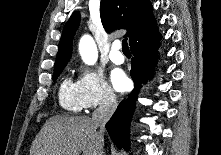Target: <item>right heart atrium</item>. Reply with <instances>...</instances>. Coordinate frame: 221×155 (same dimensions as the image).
<instances>
[{
    "instance_id": "right-heart-atrium-1",
    "label": "right heart atrium",
    "mask_w": 221,
    "mask_h": 155,
    "mask_svg": "<svg viewBox=\"0 0 221 155\" xmlns=\"http://www.w3.org/2000/svg\"><path fill=\"white\" fill-rule=\"evenodd\" d=\"M77 82L80 100L85 109L109 107L116 103V95L101 71L82 69Z\"/></svg>"
}]
</instances>
